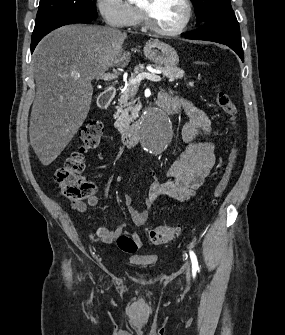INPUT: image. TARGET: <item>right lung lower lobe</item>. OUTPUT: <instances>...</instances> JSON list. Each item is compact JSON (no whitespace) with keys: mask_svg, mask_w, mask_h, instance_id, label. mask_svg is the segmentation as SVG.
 I'll use <instances>...</instances> for the list:
<instances>
[{"mask_svg":"<svg viewBox=\"0 0 285 335\" xmlns=\"http://www.w3.org/2000/svg\"><path fill=\"white\" fill-rule=\"evenodd\" d=\"M94 19L95 18L87 17L84 15L68 14L58 15L39 24H35V28L32 33L31 53L34 51L38 42L52 30L68 24L89 23Z\"/></svg>","mask_w":285,"mask_h":335,"instance_id":"98d812e1","label":"right lung lower lobe"}]
</instances>
